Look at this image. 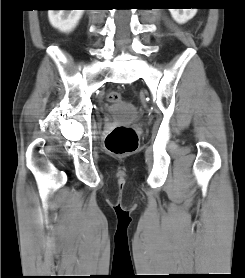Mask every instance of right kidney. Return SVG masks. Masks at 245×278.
I'll use <instances>...</instances> for the list:
<instances>
[{
    "instance_id": "right-kidney-1",
    "label": "right kidney",
    "mask_w": 245,
    "mask_h": 278,
    "mask_svg": "<svg viewBox=\"0 0 245 278\" xmlns=\"http://www.w3.org/2000/svg\"><path fill=\"white\" fill-rule=\"evenodd\" d=\"M83 10H49L48 17L51 25L62 32L72 31L78 24Z\"/></svg>"
}]
</instances>
